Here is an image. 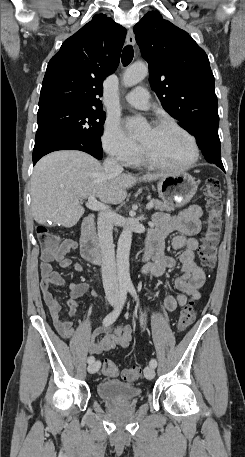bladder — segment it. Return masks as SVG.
<instances>
[{"instance_id": "bladder-1", "label": "bladder", "mask_w": 245, "mask_h": 457, "mask_svg": "<svg viewBox=\"0 0 245 457\" xmlns=\"http://www.w3.org/2000/svg\"><path fill=\"white\" fill-rule=\"evenodd\" d=\"M97 394L117 404L137 399L141 395V390L123 381L106 380L98 384Z\"/></svg>"}]
</instances>
